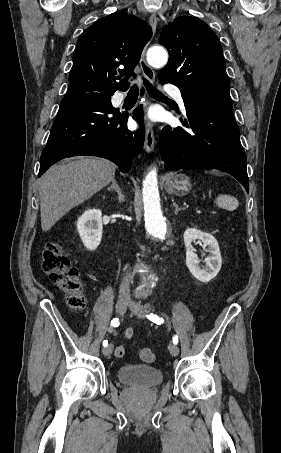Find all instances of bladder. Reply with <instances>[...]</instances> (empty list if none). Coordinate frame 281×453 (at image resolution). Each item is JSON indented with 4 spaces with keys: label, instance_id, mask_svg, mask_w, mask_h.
<instances>
[{
    "label": "bladder",
    "instance_id": "bladder-1",
    "mask_svg": "<svg viewBox=\"0 0 281 453\" xmlns=\"http://www.w3.org/2000/svg\"><path fill=\"white\" fill-rule=\"evenodd\" d=\"M117 375L123 383L138 388H152L163 381L159 369L146 365H123L119 367Z\"/></svg>",
    "mask_w": 281,
    "mask_h": 453
}]
</instances>
